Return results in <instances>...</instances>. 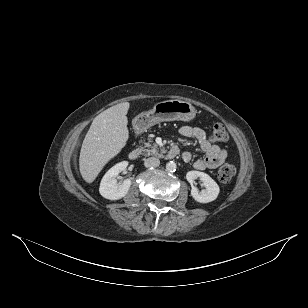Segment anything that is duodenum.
<instances>
[{"instance_id":"1","label":"duodenum","mask_w":308,"mask_h":308,"mask_svg":"<svg viewBox=\"0 0 308 308\" xmlns=\"http://www.w3.org/2000/svg\"><path fill=\"white\" fill-rule=\"evenodd\" d=\"M136 133L137 134L140 133V128L139 127H137V129H136ZM178 153H179L178 147L177 146H172L170 148V150L168 151V157L169 158H174ZM139 155H140V151L138 149H133L129 153V159L130 160H136V159H138Z\"/></svg>"}]
</instances>
